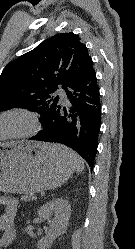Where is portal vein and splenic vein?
I'll list each match as a JSON object with an SVG mask.
<instances>
[{"label": "portal vein and splenic vein", "instance_id": "obj_1", "mask_svg": "<svg viewBox=\"0 0 135 249\" xmlns=\"http://www.w3.org/2000/svg\"><path fill=\"white\" fill-rule=\"evenodd\" d=\"M32 199H37V197H36V196H33Z\"/></svg>", "mask_w": 135, "mask_h": 249}]
</instances>
